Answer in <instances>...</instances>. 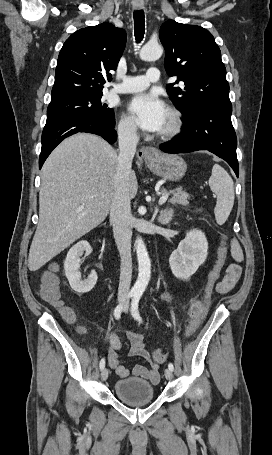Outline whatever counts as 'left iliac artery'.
Listing matches in <instances>:
<instances>
[{
	"instance_id": "left-iliac-artery-1",
	"label": "left iliac artery",
	"mask_w": 272,
	"mask_h": 455,
	"mask_svg": "<svg viewBox=\"0 0 272 455\" xmlns=\"http://www.w3.org/2000/svg\"><path fill=\"white\" fill-rule=\"evenodd\" d=\"M141 298V294L140 293H137L134 295L133 299H132V303H131V313H132V316L138 321V322H143L142 320V317L140 316L139 314V311H138V304H139V300ZM168 368L173 371L174 370V366L172 363H169L168 364Z\"/></svg>"
}]
</instances>
